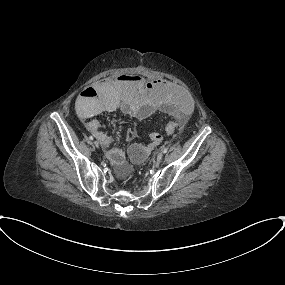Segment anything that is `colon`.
<instances>
[{"mask_svg":"<svg viewBox=\"0 0 285 285\" xmlns=\"http://www.w3.org/2000/svg\"><path fill=\"white\" fill-rule=\"evenodd\" d=\"M181 126L175 122H169L166 125V130L169 132H175L179 130ZM147 138L149 140L148 145H142L139 143H134L130 149V158L132 161L136 163H141L143 162L146 157L148 156L150 150L155 147L156 145L160 144L162 141V136L159 132H157L154 129H149L147 131Z\"/></svg>","mask_w":285,"mask_h":285,"instance_id":"colon-1","label":"colon"}]
</instances>
